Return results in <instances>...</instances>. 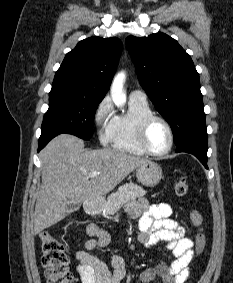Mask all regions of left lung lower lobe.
<instances>
[{"mask_svg":"<svg viewBox=\"0 0 233 283\" xmlns=\"http://www.w3.org/2000/svg\"><path fill=\"white\" fill-rule=\"evenodd\" d=\"M207 140L194 139L177 147L176 152H187L196 156L207 167Z\"/></svg>","mask_w":233,"mask_h":283,"instance_id":"obj_1","label":"left lung lower lobe"}]
</instances>
